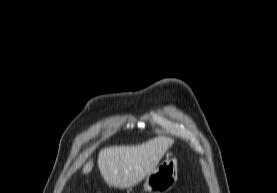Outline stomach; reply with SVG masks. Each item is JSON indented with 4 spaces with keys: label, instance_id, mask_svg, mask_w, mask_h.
<instances>
[{
    "label": "stomach",
    "instance_id": "0dacf381",
    "mask_svg": "<svg viewBox=\"0 0 277 193\" xmlns=\"http://www.w3.org/2000/svg\"><path fill=\"white\" fill-rule=\"evenodd\" d=\"M178 165L174 158H165L145 177L144 189L149 193H166L177 181Z\"/></svg>",
    "mask_w": 277,
    "mask_h": 193
}]
</instances>
